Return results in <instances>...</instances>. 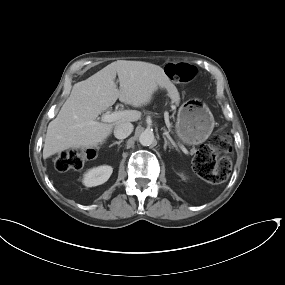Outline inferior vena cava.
<instances>
[{
  "mask_svg": "<svg viewBox=\"0 0 285 285\" xmlns=\"http://www.w3.org/2000/svg\"><path fill=\"white\" fill-rule=\"evenodd\" d=\"M133 131V125L130 122H121L114 128V136L117 139L127 138Z\"/></svg>",
  "mask_w": 285,
  "mask_h": 285,
  "instance_id": "obj_1",
  "label": "inferior vena cava"
}]
</instances>
